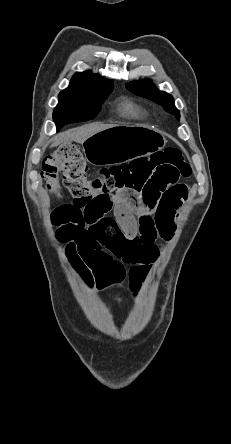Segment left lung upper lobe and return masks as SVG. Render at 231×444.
Here are the masks:
<instances>
[{
	"instance_id": "1",
	"label": "left lung upper lobe",
	"mask_w": 231,
	"mask_h": 444,
	"mask_svg": "<svg viewBox=\"0 0 231 444\" xmlns=\"http://www.w3.org/2000/svg\"><path fill=\"white\" fill-rule=\"evenodd\" d=\"M126 88L139 96L155 101L162 105L168 112L180 118V113L174 105L173 97L166 92L159 91L151 81L130 82L126 84Z\"/></svg>"
}]
</instances>
